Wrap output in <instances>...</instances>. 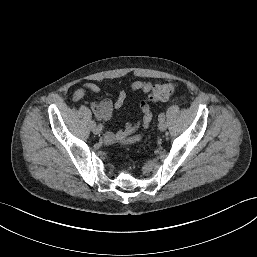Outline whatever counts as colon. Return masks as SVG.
<instances>
[{
	"mask_svg": "<svg viewBox=\"0 0 257 257\" xmlns=\"http://www.w3.org/2000/svg\"><path fill=\"white\" fill-rule=\"evenodd\" d=\"M177 89L174 83H164L156 85L149 94L148 99L153 102H159L168 99Z\"/></svg>",
	"mask_w": 257,
	"mask_h": 257,
	"instance_id": "1",
	"label": "colon"
}]
</instances>
